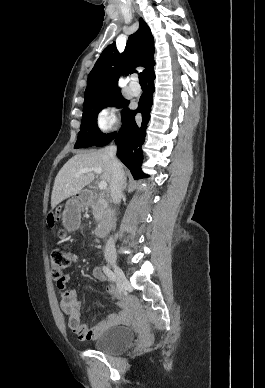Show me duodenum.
<instances>
[{
    "instance_id": "obj_1",
    "label": "duodenum",
    "mask_w": 265,
    "mask_h": 388,
    "mask_svg": "<svg viewBox=\"0 0 265 388\" xmlns=\"http://www.w3.org/2000/svg\"><path fill=\"white\" fill-rule=\"evenodd\" d=\"M97 198H98V194L92 190H83L78 195V199L83 205H90L95 200H97ZM113 222H114V213L112 211H108L99 222L96 229V234L99 237L105 236L110 230Z\"/></svg>"
}]
</instances>
